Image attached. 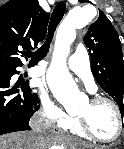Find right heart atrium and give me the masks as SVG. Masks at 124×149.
Segmentation results:
<instances>
[{
	"label": "right heart atrium",
	"mask_w": 124,
	"mask_h": 149,
	"mask_svg": "<svg viewBox=\"0 0 124 149\" xmlns=\"http://www.w3.org/2000/svg\"><path fill=\"white\" fill-rule=\"evenodd\" d=\"M41 113L44 117L56 121L61 127H66L74 120L49 99L43 101Z\"/></svg>",
	"instance_id": "right-heart-atrium-1"
}]
</instances>
